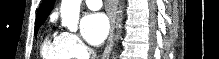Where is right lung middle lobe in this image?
I'll use <instances>...</instances> for the list:
<instances>
[{"label": "right lung middle lobe", "mask_w": 219, "mask_h": 59, "mask_svg": "<svg viewBox=\"0 0 219 59\" xmlns=\"http://www.w3.org/2000/svg\"><path fill=\"white\" fill-rule=\"evenodd\" d=\"M40 26H41V25L35 26V30H34V34H35V36H36L37 31H38V28H39Z\"/></svg>", "instance_id": "obj_1"}]
</instances>
